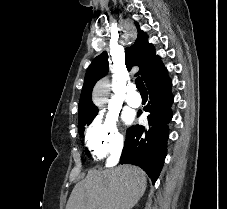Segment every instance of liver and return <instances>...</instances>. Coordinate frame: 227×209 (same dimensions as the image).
<instances>
[{"instance_id":"liver-1","label":"liver","mask_w":227,"mask_h":209,"mask_svg":"<svg viewBox=\"0 0 227 209\" xmlns=\"http://www.w3.org/2000/svg\"><path fill=\"white\" fill-rule=\"evenodd\" d=\"M147 179L139 167L123 165L89 171L75 185L66 209H132L146 191Z\"/></svg>"}]
</instances>
